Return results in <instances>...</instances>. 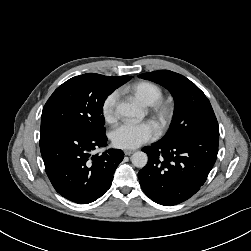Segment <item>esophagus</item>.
<instances>
[{
  "mask_svg": "<svg viewBox=\"0 0 251 251\" xmlns=\"http://www.w3.org/2000/svg\"><path fill=\"white\" fill-rule=\"evenodd\" d=\"M135 151L134 150H124V154L125 155H131L133 154Z\"/></svg>",
  "mask_w": 251,
  "mask_h": 251,
  "instance_id": "obj_1",
  "label": "esophagus"
}]
</instances>
